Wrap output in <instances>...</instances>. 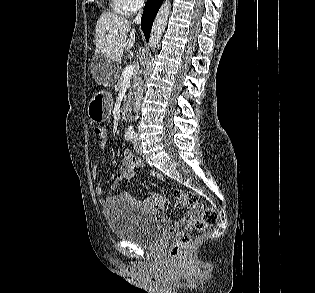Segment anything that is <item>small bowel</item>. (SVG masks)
<instances>
[{"mask_svg":"<svg viewBox=\"0 0 315 293\" xmlns=\"http://www.w3.org/2000/svg\"><path fill=\"white\" fill-rule=\"evenodd\" d=\"M108 146V140L103 137L100 141V147L105 149ZM142 161L138 157H131L128 151H124V159L120 163V166L117 170L115 179L111 185V189L116 191L124 182L129 181L135 177V168L141 167ZM150 175L154 178L161 179V174L157 172H151ZM92 177H93V185L94 190L97 195L103 194V188L99 179V166L95 165L92 169ZM113 202H125L135 206H139L147 209L151 212L155 218L164 224L169 229L174 230H186L188 225L186 224L190 220L194 219V213L190 211L183 212L180 216L175 219H169L164 214V207L166 204V200L155 194L150 193L149 196L144 200H138L134 198L127 191H120L114 196L105 197L100 199V203L102 206L106 207ZM177 208L184 207L181 203H177Z\"/></svg>","mask_w":315,"mask_h":293,"instance_id":"obj_1","label":"small bowel"}]
</instances>
